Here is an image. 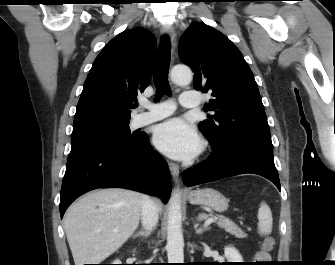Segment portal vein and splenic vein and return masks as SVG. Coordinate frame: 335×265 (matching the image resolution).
Masks as SVG:
<instances>
[{
    "label": "portal vein and splenic vein",
    "mask_w": 335,
    "mask_h": 265,
    "mask_svg": "<svg viewBox=\"0 0 335 265\" xmlns=\"http://www.w3.org/2000/svg\"><path fill=\"white\" fill-rule=\"evenodd\" d=\"M215 221H216V218H214V217L207 218L206 221H205V225H209V224H211L212 222H215Z\"/></svg>",
    "instance_id": "1"
}]
</instances>
